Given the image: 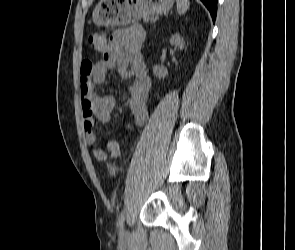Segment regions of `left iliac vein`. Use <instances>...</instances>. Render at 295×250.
<instances>
[{
  "label": "left iliac vein",
  "instance_id": "1",
  "mask_svg": "<svg viewBox=\"0 0 295 250\" xmlns=\"http://www.w3.org/2000/svg\"><path fill=\"white\" fill-rule=\"evenodd\" d=\"M119 238L121 240L128 238V233L126 232L124 225L119 229Z\"/></svg>",
  "mask_w": 295,
  "mask_h": 250
}]
</instances>
